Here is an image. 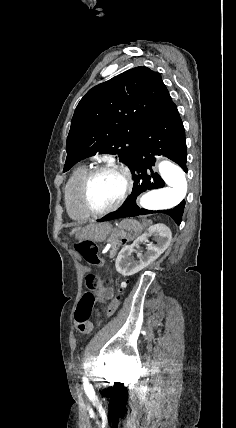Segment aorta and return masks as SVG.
<instances>
[{"label": "aorta", "instance_id": "762f6f07", "mask_svg": "<svg viewBox=\"0 0 236 428\" xmlns=\"http://www.w3.org/2000/svg\"><path fill=\"white\" fill-rule=\"evenodd\" d=\"M159 174L166 186L151 190L140 198V205L147 210H169L177 206L186 196L187 181L185 172L170 161L158 165Z\"/></svg>", "mask_w": 236, "mask_h": 428}]
</instances>
